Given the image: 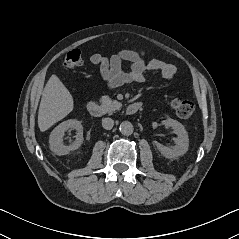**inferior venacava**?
Masks as SVG:
<instances>
[{
	"label": "inferior vena cava",
	"instance_id": "inferior-vena-cava-1",
	"mask_svg": "<svg viewBox=\"0 0 239 239\" xmlns=\"http://www.w3.org/2000/svg\"><path fill=\"white\" fill-rule=\"evenodd\" d=\"M102 126L106 130H110L114 126V120L111 118H103L102 119Z\"/></svg>",
	"mask_w": 239,
	"mask_h": 239
}]
</instances>
